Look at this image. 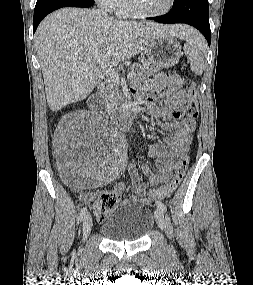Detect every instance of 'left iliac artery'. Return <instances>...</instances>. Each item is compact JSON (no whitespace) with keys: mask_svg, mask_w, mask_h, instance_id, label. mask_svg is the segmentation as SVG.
I'll return each mask as SVG.
<instances>
[{"mask_svg":"<svg viewBox=\"0 0 253 285\" xmlns=\"http://www.w3.org/2000/svg\"><path fill=\"white\" fill-rule=\"evenodd\" d=\"M156 205L158 208H160L161 210L165 211L166 207L165 205L161 202V201H156Z\"/></svg>","mask_w":253,"mask_h":285,"instance_id":"left-iliac-artery-1","label":"left iliac artery"}]
</instances>
